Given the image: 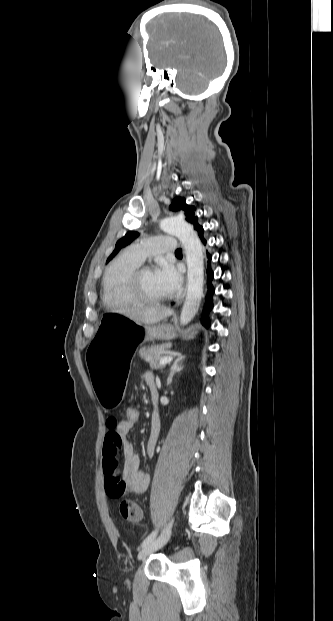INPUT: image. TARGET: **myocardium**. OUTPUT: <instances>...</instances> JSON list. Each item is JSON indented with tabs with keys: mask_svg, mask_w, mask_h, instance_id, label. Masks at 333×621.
I'll return each instance as SVG.
<instances>
[{
	"mask_svg": "<svg viewBox=\"0 0 333 621\" xmlns=\"http://www.w3.org/2000/svg\"><path fill=\"white\" fill-rule=\"evenodd\" d=\"M151 270L152 268L150 266H139L128 277V280L126 282V291L129 297L134 299L137 303L155 305L161 304L169 298V296H164L160 298L150 297L142 291L140 285L141 276L143 273Z\"/></svg>",
	"mask_w": 333,
	"mask_h": 621,
	"instance_id": "obj_1",
	"label": "myocardium"
}]
</instances>
